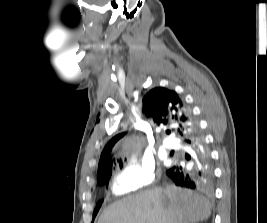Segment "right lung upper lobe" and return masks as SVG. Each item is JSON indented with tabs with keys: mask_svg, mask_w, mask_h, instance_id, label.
Listing matches in <instances>:
<instances>
[{
	"mask_svg": "<svg viewBox=\"0 0 267 223\" xmlns=\"http://www.w3.org/2000/svg\"><path fill=\"white\" fill-rule=\"evenodd\" d=\"M143 112L151 116L157 125L171 127L172 131L177 132L183 140L193 134V128L197 124L178 94L163 87H156L145 95L143 98ZM123 135L124 133L115 136L105 146L99 161L98 179L115 163V159L112 160L110 157V152L114 144Z\"/></svg>",
	"mask_w": 267,
	"mask_h": 223,
	"instance_id": "1",
	"label": "right lung upper lobe"
}]
</instances>
